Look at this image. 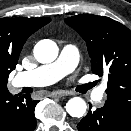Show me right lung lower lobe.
<instances>
[{
    "label": "right lung lower lobe",
    "mask_w": 131,
    "mask_h": 131,
    "mask_svg": "<svg viewBox=\"0 0 131 131\" xmlns=\"http://www.w3.org/2000/svg\"><path fill=\"white\" fill-rule=\"evenodd\" d=\"M38 102L32 100L30 94L12 96L7 88L1 89L0 131H34V110Z\"/></svg>",
    "instance_id": "1"
}]
</instances>
